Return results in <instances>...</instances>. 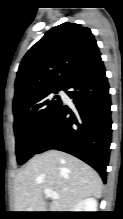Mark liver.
<instances>
[{"label": "liver", "instance_id": "obj_1", "mask_svg": "<svg viewBox=\"0 0 123 219\" xmlns=\"http://www.w3.org/2000/svg\"><path fill=\"white\" fill-rule=\"evenodd\" d=\"M60 198L49 208L44 190ZM103 183L99 174L80 159L57 150L35 155L14 180L15 212H72L88 197L101 198Z\"/></svg>", "mask_w": 123, "mask_h": 219}]
</instances>
